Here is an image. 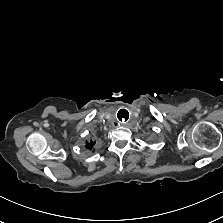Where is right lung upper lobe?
<instances>
[{"label": "right lung upper lobe", "mask_w": 223, "mask_h": 223, "mask_svg": "<svg viewBox=\"0 0 223 223\" xmlns=\"http://www.w3.org/2000/svg\"><path fill=\"white\" fill-rule=\"evenodd\" d=\"M94 144L95 142L90 140L89 142H86V148L91 150Z\"/></svg>", "instance_id": "right-lung-upper-lobe-1"}]
</instances>
